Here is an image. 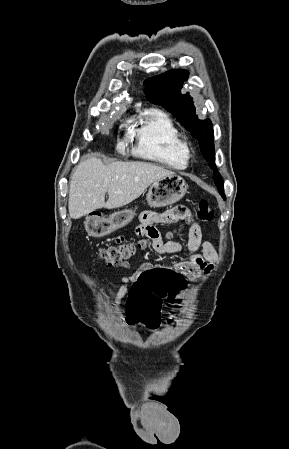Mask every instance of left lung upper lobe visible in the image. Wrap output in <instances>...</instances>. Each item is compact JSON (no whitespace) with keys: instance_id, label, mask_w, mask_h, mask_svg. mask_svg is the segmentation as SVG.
<instances>
[{"instance_id":"1","label":"left lung upper lobe","mask_w":289,"mask_h":449,"mask_svg":"<svg viewBox=\"0 0 289 449\" xmlns=\"http://www.w3.org/2000/svg\"><path fill=\"white\" fill-rule=\"evenodd\" d=\"M185 70H171L144 82V92L148 100L171 112L177 120L199 140L201 151L209 166L214 170L213 179L225 199L224 184L215 165L214 134L209 119L200 120L195 114L192 98L181 94L183 82L187 80Z\"/></svg>"}]
</instances>
